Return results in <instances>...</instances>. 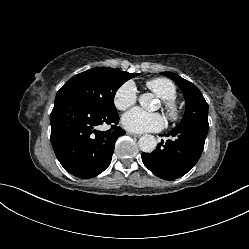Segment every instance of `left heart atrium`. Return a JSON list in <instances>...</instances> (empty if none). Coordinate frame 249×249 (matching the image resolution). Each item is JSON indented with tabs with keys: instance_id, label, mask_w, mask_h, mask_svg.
I'll list each match as a JSON object with an SVG mask.
<instances>
[{
	"instance_id": "1",
	"label": "left heart atrium",
	"mask_w": 249,
	"mask_h": 249,
	"mask_svg": "<svg viewBox=\"0 0 249 249\" xmlns=\"http://www.w3.org/2000/svg\"><path fill=\"white\" fill-rule=\"evenodd\" d=\"M122 125L125 129L142 133L157 131L163 127V117L158 113H147L140 108L128 111L122 117Z\"/></svg>"
}]
</instances>
